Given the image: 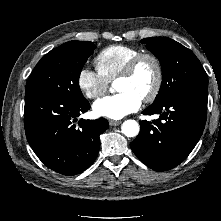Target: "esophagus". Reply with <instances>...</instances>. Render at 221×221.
Segmentation results:
<instances>
[{"label": "esophagus", "mask_w": 221, "mask_h": 221, "mask_svg": "<svg viewBox=\"0 0 221 221\" xmlns=\"http://www.w3.org/2000/svg\"><path fill=\"white\" fill-rule=\"evenodd\" d=\"M109 124H110L111 126H118V125L121 124V121L110 120V121H109Z\"/></svg>", "instance_id": "esophagus-1"}]
</instances>
